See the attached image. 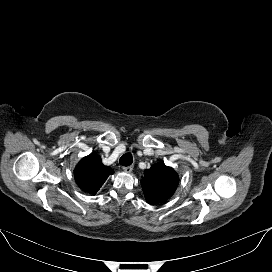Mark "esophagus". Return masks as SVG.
<instances>
[{
	"label": "esophagus",
	"mask_w": 272,
	"mask_h": 272,
	"mask_svg": "<svg viewBox=\"0 0 272 272\" xmlns=\"http://www.w3.org/2000/svg\"><path fill=\"white\" fill-rule=\"evenodd\" d=\"M123 170L126 172V173H131V171L133 170V166H125L123 167Z\"/></svg>",
	"instance_id": "1"
}]
</instances>
